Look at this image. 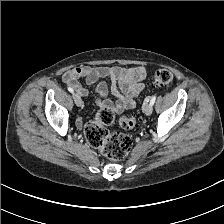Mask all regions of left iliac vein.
<instances>
[{
	"label": "left iliac vein",
	"mask_w": 224,
	"mask_h": 224,
	"mask_svg": "<svg viewBox=\"0 0 224 224\" xmlns=\"http://www.w3.org/2000/svg\"><path fill=\"white\" fill-rule=\"evenodd\" d=\"M143 110L146 115H151V113L153 111V105L151 103H148L144 106Z\"/></svg>",
	"instance_id": "4c4485c4"
}]
</instances>
